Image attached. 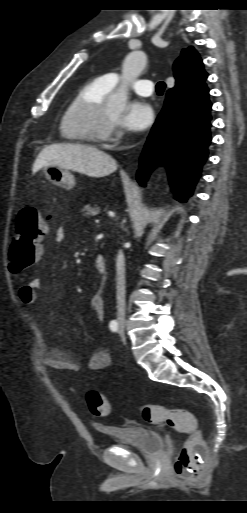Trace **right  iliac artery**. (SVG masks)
I'll return each mask as SVG.
<instances>
[{"label": "right iliac artery", "instance_id": "obj_1", "mask_svg": "<svg viewBox=\"0 0 247 513\" xmlns=\"http://www.w3.org/2000/svg\"><path fill=\"white\" fill-rule=\"evenodd\" d=\"M109 327L111 331L117 332L118 331V322L116 320H112L109 324Z\"/></svg>", "mask_w": 247, "mask_h": 513}]
</instances>
